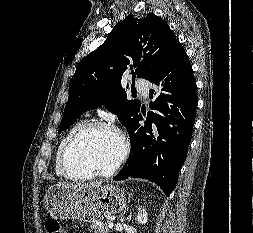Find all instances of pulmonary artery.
<instances>
[{"instance_id": "1", "label": "pulmonary artery", "mask_w": 253, "mask_h": 233, "mask_svg": "<svg viewBox=\"0 0 253 233\" xmlns=\"http://www.w3.org/2000/svg\"><path fill=\"white\" fill-rule=\"evenodd\" d=\"M136 89L139 94L142 95L144 99L149 96V84L146 81L140 80L136 82Z\"/></svg>"}]
</instances>
